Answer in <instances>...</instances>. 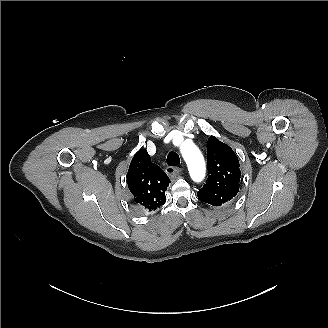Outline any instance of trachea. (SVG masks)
Wrapping results in <instances>:
<instances>
[{
    "label": "trachea",
    "instance_id": "obj_1",
    "mask_svg": "<svg viewBox=\"0 0 328 328\" xmlns=\"http://www.w3.org/2000/svg\"><path fill=\"white\" fill-rule=\"evenodd\" d=\"M166 162L169 166H177L180 164V158L179 155L174 152V151H170L167 155V159Z\"/></svg>",
    "mask_w": 328,
    "mask_h": 328
}]
</instances>
